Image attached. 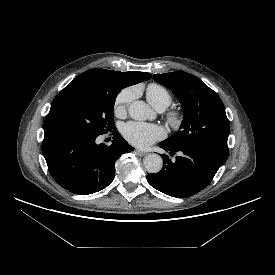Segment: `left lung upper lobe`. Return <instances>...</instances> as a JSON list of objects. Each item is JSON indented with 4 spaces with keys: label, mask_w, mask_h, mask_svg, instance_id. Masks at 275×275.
<instances>
[{
    "label": "left lung upper lobe",
    "mask_w": 275,
    "mask_h": 275,
    "mask_svg": "<svg viewBox=\"0 0 275 275\" xmlns=\"http://www.w3.org/2000/svg\"><path fill=\"white\" fill-rule=\"evenodd\" d=\"M154 80L172 90L184 113L179 130L163 142L228 156L229 120L216 92L199 78L183 71L155 74Z\"/></svg>",
    "instance_id": "left-lung-upper-lobe-1"
}]
</instances>
